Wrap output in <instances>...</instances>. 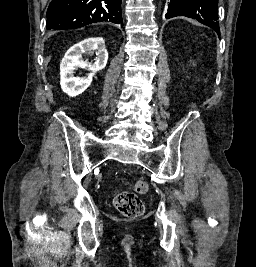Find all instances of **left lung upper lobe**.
<instances>
[{"mask_svg":"<svg viewBox=\"0 0 256 267\" xmlns=\"http://www.w3.org/2000/svg\"><path fill=\"white\" fill-rule=\"evenodd\" d=\"M218 0H171L165 18L186 16L209 26L220 37Z\"/></svg>","mask_w":256,"mask_h":267,"instance_id":"1","label":"left lung upper lobe"}]
</instances>
